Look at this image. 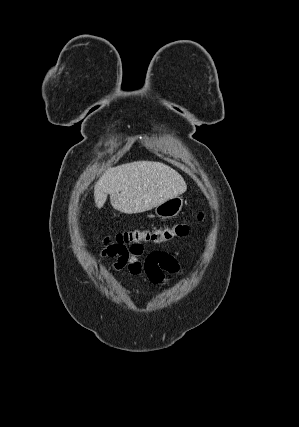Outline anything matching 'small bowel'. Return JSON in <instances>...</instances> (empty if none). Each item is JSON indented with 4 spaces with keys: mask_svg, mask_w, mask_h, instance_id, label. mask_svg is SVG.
<instances>
[{
    "mask_svg": "<svg viewBox=\"0 0 299 427\" xmlns=\"http://www.w3.org/2000/svg\"><path fill=\"white\" fill-rule=\"evenodd\" d=\"M144 254L141 244H134L126 251L115 255L113 268L116 271L128 270L132 275H146L153 284H162L166 274H179L181 268L176 259L167 252L156 251L140 258Z\"/></svg>",
    "mask_w": 299,
    "mask_h": 427,
    "instance_id": "obj_1",
    "label": "small bowel"
}]
</instances>
